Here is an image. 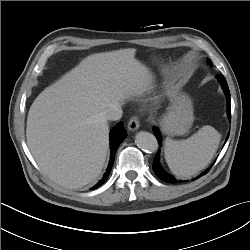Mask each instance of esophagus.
Here are the masks:
<instances>
[{
    "mask_svg": "<svg viewBox=\"0 0 250 250\" xmlns=\"http://www.w3.org/2000/svg\"><path fill=\"white\" fill-rule=\"evenodd\" d=\"M140 127L139 119L136 116H133L128 122V129L130 131H135Z\"/></svg>",
    "mask_w": 250,
    "mask_h": 250,
    "instance_id": "34e87169",
    "label": "esophagus"
}]
</instances>
